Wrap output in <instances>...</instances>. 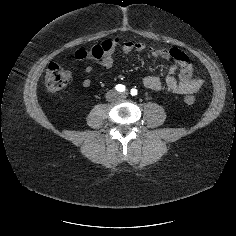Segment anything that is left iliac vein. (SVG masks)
<instances>
[{"mask_svg":"<svg viewBox=\"0 0 236 236\" xmlns=\"http://www.w3.org/2000/svg\"><path fill=\"white\" fill-rule=\"evenodd\" d=\"M121 97H125V93L121 94Z\"/></svg>","mask_w":236,"mask_h":236,"instance_id":"obj_1","label":"left iliac vein"}]
</instances>
